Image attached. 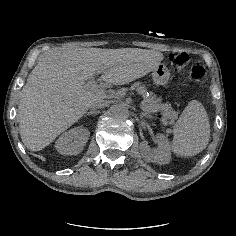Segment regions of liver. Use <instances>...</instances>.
<instances>
[{"mask_svg":"<svg viewBox=\"0 0 236 236\" xmlns=\"http://www.w3.org/2000/svg\"><path fill=\"white\" fill-rule=\"evenodd\" d=\"M149 50L138 48H76L39 57L21 91L18 106L20 136L31 151H40L107 96L84 88L88 78L102 73L104 82L128 84L149 72L141 66Z\"/></svg>","mask_w":236,"mask_h":236,"instance_id":"1","label":"liver"}]
</instances>
